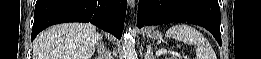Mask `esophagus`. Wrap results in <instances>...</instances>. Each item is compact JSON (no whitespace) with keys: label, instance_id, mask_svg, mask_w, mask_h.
Returning <instances> with one entry per match:
<instances>
[{"label":"esophagus","instance_id":"obj_1","mask_svg":"<svg viewBox=\"0 0 261 59\" xmlns=\"http://www.w3.org/2000/svg\"><path fill=\"white\" fill-rule=\"evenodd\" d=\"M128 5H129L130 8H134L135 0H128Z\"/></svg>","mask_w":261,"mask_h":59}]
</instances>
